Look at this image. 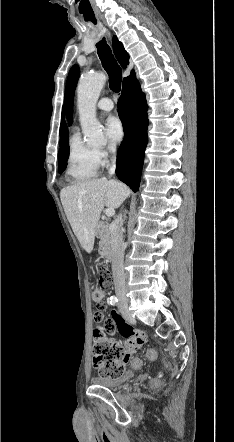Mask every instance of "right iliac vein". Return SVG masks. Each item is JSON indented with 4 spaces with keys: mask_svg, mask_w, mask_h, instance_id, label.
Here are the masks:
<instances>
[{
    "mask_svg": "<svg viewBox=\"0 0 234 442\" xmlns=\"http://www.w3.org/2000/svg\"><path fill=\"white\" fill-rule=\"evenodd\" d=\"M121 312L124 314V316L128 319H132L129 312H128V304L127 302L123 301L120 303Z\"/></svg>",
    "mask_w": 234,
    "mask_h": 442,
    "instance_id": "63e3f726",
    "label": "right iliac vein"
}]
</instances>
